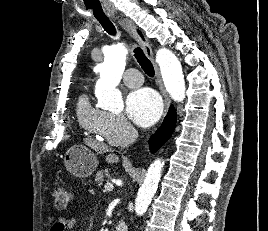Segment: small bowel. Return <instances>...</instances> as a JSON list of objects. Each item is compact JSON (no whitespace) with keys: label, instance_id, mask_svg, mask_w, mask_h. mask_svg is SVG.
Returning a JSON list of instances; mask_svg holds the SVG:
<instances>
[{"label":"small bowel","instance_id":"obj_1","mask_svg":"<svg viewBox=\"0 0 268 231\" xmlns=\"http://www.w3.org/2000/svg\"><path fill=\"white\" fill-rule=\"evenodd\" d=\"M77 224V218L74 215L70 216H61L58 217L57 220L51 227V231H67L73 230Z\"/></svg>","mask_w":268,"mask_h":231}]
</instances>
